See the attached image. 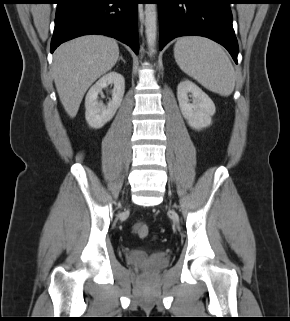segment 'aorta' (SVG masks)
Returning <instances> with one entry per match:
<instances>
[{"instance_id": "aorta-1", "label": "aorta", "mask_w": 290, "mask_h": 321, "mask_svg": "<svg viewBox=\"0 0 290 321\" xmlns=\"http://www.w3.org/2000/svg\"><path fill=\"white\" fill-rule=\"evenodd\" d=\"M145 33L149 53L152 56L155 53L157 37V5L145 4Z\"/></svg>"}]
</instances>
